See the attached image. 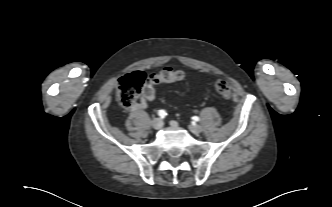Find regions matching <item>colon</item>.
<instances>
[{"mask_svg":"<svg viewBox=\"0 0 332 207\" xmlns=\"http://www.w3.org/2000/svg\"><path fill=\"white\" fill-rule=\"evenodd\" d=\"M184 73L170 67L152 73L148 77L141 71L132 72L122 77L117 84V100L123 110L130 109L142 92L143 85L148 79L154 84H168L181 81ZM216 91L225 99L231 97V86L227 81L220 80L215 85Z\"/></svg>","mask_w":332,"mask_h":207,"instance_id":"obj_1","label":"colon"}]
</instances>
